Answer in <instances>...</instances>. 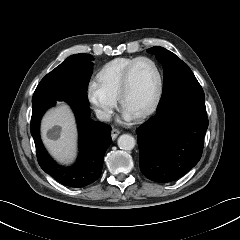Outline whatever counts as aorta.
I'll list each match as a JSON object with an SVG mask.
<instances>
[{"label": "aorta", "instance_id": "1", "mask_svg": "<svg viewBox=\"0 0 240 240\" xmlns=\"http://www.w3.org/2000/svg\"><path fill=\"white\" fill-rule=\"evenodd\" d=\"M118 146L122 150H132L135 147V139L129 134H123L118 138Z\"/></svg>", "mask_w": 240, "mask_h": 240}]
</instances>
